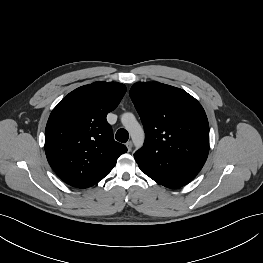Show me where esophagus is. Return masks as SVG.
<instances>
[{"instance_id": "esophagus-1", "label": "esophagus", "mask_w": 263, "mask_h": 263, "mask_svg": "<svg viewBox=\"0 0 263 263\" xmlns=\"http://www.w3.org/2000/svg\"><path fill=\"white\" fill-rule=\"evenodd\" d=\"M126 147H127V149H128V152H130L131 149H132V142H131V141H128V142L126 143Z\"/></svg>"}]
</instances>
